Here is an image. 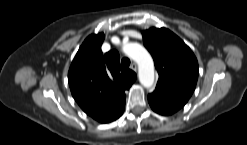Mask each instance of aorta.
<instances>
[{"label":"aorta","instance_id":"762f6f07","mask_svg":"<svg viewBox=\"0 0 247 145\" xmlns=\"http://www.w3.org/2000/svg\"><path fill=\"white\" fill-rule=\"evenodd\" d=\"M124 52L138 64L140 83L145 88H150L154 83V63L151 55L137 43L126 44Z\"/></svg>","mask_w":247,"mask_h":145}]
</instances>
